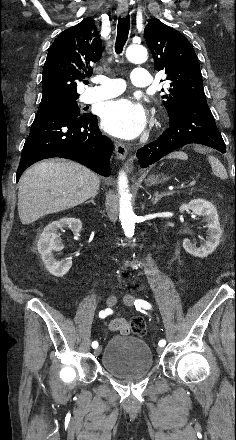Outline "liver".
<instances>
[{"mask_svg": "<svg viewBox=\"0 0 236 440\" xmlns=\"http://www.w3.org/2000/svg\"><path fill=\"white\" fill-rule=\"evenodd\" d=\"M170 157H182L172 154ZM99 177L74 162L44 161L28 169L20 179L18 213L29 225L45 215L82 204L96 195Z\"/></svg>", "mask_w": 236, "mask_h": 440, "instance_id": "6515ba94", "label": "liver"}]
</instances>
